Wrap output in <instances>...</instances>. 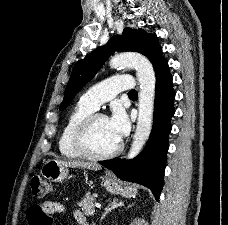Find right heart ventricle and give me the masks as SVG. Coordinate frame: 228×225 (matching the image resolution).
I'll return each instance as SVG.
<instances>
[{
	"instance_id": "obj_1",
	"label": "right heart ventricle",
	"mask_w": 228,
	"mask_h": 225,
	"mask_svg": "<svg viewBox=\"0 0 228 225\" xmlns=\"http://www.w3.org/2000/svg\"><path fill=\"white\" fill-rule=\"evenodd\" d=\"M95 110L78 101L70 111L59 137L58 147L62 156L70 159L85 158L73 144V135L79 123Z\"/></svg>"
}]
</instances>
